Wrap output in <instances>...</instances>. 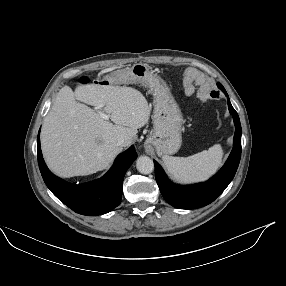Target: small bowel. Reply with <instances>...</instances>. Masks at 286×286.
Instances as JSON below:
<instances>
[{"label":"small bowel","instance_id":"small-bowel-1","mask_svg":"<svg viewBox=\"0 0 286 286\" xmlns=\"http://www.w3.org/2000/svg\"><path fill=\"white\" fill-rule=\"evenodd\" d=\"M186 76H187V83H186V87L188 88L186 91L187 95H191L194 91V88H193V85H192V82H202L204 83L205 82V79H204V76L202 74H200L199 72L193 70L192 68H188L186 69ZM215 92L212 91L210 92V97L211 98H215L216 96H214Z\"/></svg>","mask_w":286,"mask_h":286}]
</instances>
